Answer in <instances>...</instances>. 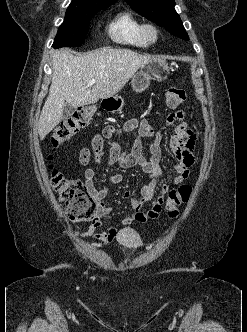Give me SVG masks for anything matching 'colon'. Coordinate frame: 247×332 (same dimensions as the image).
I'll use <instances>...</instances> for the list:
<instances>
[{"instance_id": "obj_1", "label": "colon", "mask_w": 247, "mask_h": 332, "mask_svg": "<svg viewBox=\"0 0 247 332\" xmlns=\"http://www.w3.org/2000/svg\"><path fill=\"white\" fill-rule=\"evenodd\" d=\"M185 100L186 92L183 88L170 87L165 92V102L169 109L177 108ZM94 113V106H84L61 122L51 136L53 148L60 147L79 130L85 128L91 121ZM51 181L71 221L89 220L95 216L96 204L81 180L67 177L60 171L51 168ZM191 193L192 188L189 185H181L168 192L165 209L169 217L175 218L178 215V207L189 201Z\"/></svg>"}]
</instances>
